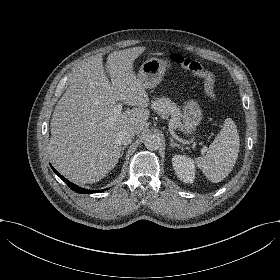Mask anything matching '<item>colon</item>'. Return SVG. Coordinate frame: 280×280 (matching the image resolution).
Wrapping results in <instances>:
<instances>
[{
    "label": "colon",
    "mask_w": 280,
    "mask_h": 280,
    "mask_svg": "<svg viewBox=\"0 0 280 280\" xmlns=\"http://www.w3.org/2000/svg\"><path fill=\"white\" fill-rule=\"evenodd\" d=\"M175 61L180 62L179 65L185 66V68L190 72L201 76L204 83L206 96L210 100H215L217 98L215 91V77L209 73L200 62L191 58L181 59L180 57L176 58Z\"/></svg>",
    "instance_id": "colon-1"
}]
</instances>
